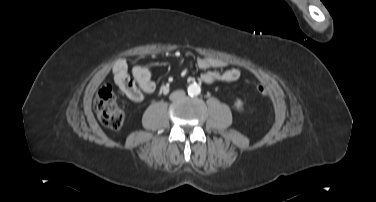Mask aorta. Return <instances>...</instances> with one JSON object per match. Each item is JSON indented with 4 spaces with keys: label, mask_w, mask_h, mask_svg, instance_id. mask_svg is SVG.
Returning a JSON list of instances; mask_svg holds the SVG:
<instances>
[{
    "label": "aorta",
    "mask_w": 376,
    "mask_h": 202,
    "mask_svg": "<svg viewBox=\"0 0 376 202\" xmlns=\"http://www.w3.org/2000/svg\"><path fill=\"white\" fill-rule=\"evenodd\" d=\"M187 91L190 96H197L201 93V88L197 83H193L188 86Z\"/></svg>",
    "instance_id": "1"
}]
</instances>
